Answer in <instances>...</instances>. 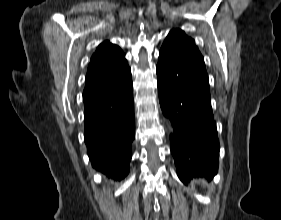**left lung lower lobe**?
<instances>
[{
	"label": "left lung lower lobe",
	"instance_id": "obj_1",
	"mask_svg": "<svg viewBox=\"0 0 281 220\" xmlns=\"http://www.w3.org/2000/svg\"><path fill=\"white\" fill-rule=\"evenodd\" d=\"M156 72L160 105L173 127L170 147L179 179L212 178L220 147L204 61L185 53H160Z\"/></svg>",
	"mask_w": 281,
	"mask_h": 220
}]
</instances>
